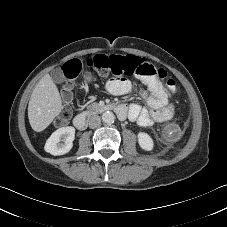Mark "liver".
I'll use <instances>...</instances> for the list:
<instances>
[{
	"mask_svg": "<svg viewBox=\"0 0 227 227\" xmlns=\"http://www.w3.org/2000/svg\"><path fill=\"white\" fill-rule=\"evenodd\" d=\"M62 111V100L51 76L46 74L35 86L28 104V119L32 129H46Z\"/></svg>",
	"mask_w": 227,
	"mask_h": 227,
	"instance_id": "6515ba94",
	"label": "liver"
}]
</instances>
